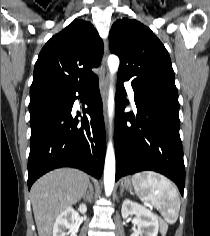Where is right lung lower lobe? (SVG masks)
I'll return each mask as SVG.
<instances>
[{
  "label": "right lung lower lobe",
  "instance_id": "98d812e1",
  "mask_svg": "<svg viewBox=\"0 0 210 236\" xmlns=\"http://www.w3.org/2000/svg\"><path fill=\"white\" fill-rule=\"evenodd\" d=\"M76 92L87 96V115L84 112L81 124L71 116ZM30 125L29 190L36 179L59 167H75L101 177L106 138L97 76L66 92L63 99L30 110Z\"/></svg>",
  "mask_w": 210,
  "mask_h": 236
}]
</instances>
